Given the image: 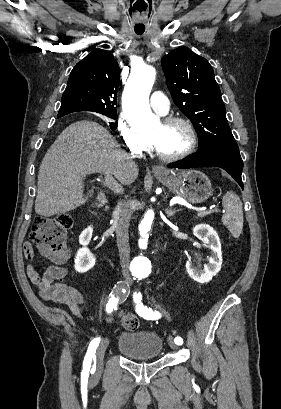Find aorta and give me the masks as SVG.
Instances as JSON below:
<instances>
[{"instance_id": "obj_1", "label": "aorta", "mask_w": 281, "mask_h": 409, "mask_svg": "<svg viewBox=\"0 0 281 409\" xmlns=\"http://www.w3.org/2000/svg\"><path fill=\"white\" fill-rule=\"evenodd\" d=\"M156 77L152 66L141 64L132 72L123 94V110L131 127L138 133L149 132L159 125V119L149 106V95ZM153 210H148L139 226L142 233L151 228Z\"/></svg>"}]
</instances>
